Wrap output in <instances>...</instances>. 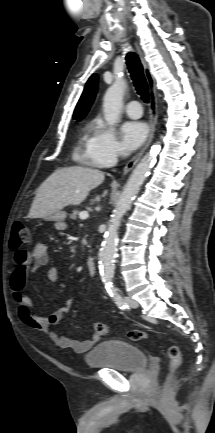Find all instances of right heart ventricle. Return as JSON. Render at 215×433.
<instances>
[{
	"mask_svg": "<svg viewBox=\"0 0 215 433\" xmlns=\"http://www.w3.org/2000/svg\"><path fill=\"white\" fill-rule=\"evenodd\" d=\"M93 131L94 129L92 128V126H88L86 128L84 135L80 140L79 146L75 151V155L78 159L89 160L92 164L96 165L89 157V148L92 142Z\"/></svg>",
	"mask_w": 215,
	"mask_h": 433,
	"instance_id": "1",
	"label": "right heart ventricle"
}]
</instances>
